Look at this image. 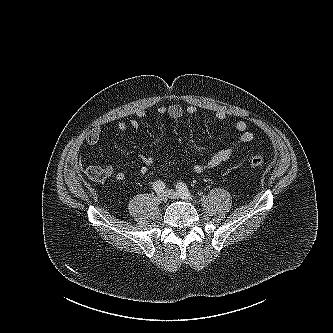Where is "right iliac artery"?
<instances>
[{
  "label": "right iliac artery",
  "instance_id": "82829eb1",
  "mask_svg": "<svg viewBox=\"0 0 333 333\" xmlns=\"http://www.w3.org/2000/svg\"><path fill=\"white\" fill-rule=\"evenodd\" d=\"M153 189L156 191V192H161L165 189V184L163 181L161 180H158L156 182H154L153 184Z\"/></svg>",
  "mask_w": 333,
  "mask_h": 333
}]
</instances>
